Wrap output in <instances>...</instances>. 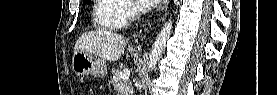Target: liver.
<instances>
[{"mask_svg": "<svg viewBox=\"0 0 277 95\" xmlns=\"http://www.w3.org/2000/svg\"><path fill=\"white\" fill-rule=\"evenodd\" d=\"M126 42L120 34L107 30H96L81 35L74 48V54L86 51L105 61H117L124 53Z\"/></svg>", "mask_w": 277, "mask_h": 95, "instance_id": "obj_1", "label": "liver"}]
</instances>
